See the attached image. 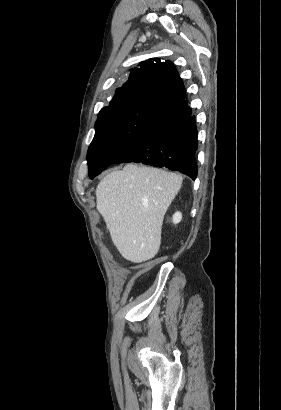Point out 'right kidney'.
Instances as JSON below:
<instances>
[{
	"mask_svg": "<svg viewBox=\"0 0 281 410\" xmlns=\"http://www.w3.org/2000/svg\"><path fill=\"white\" fill-rule=\"evenodd\" d=\"M181 219H182V214L180 212H176L172 217V222L174 224H177L181 221Z\"/></svg>",
	"mask_w": 281,
	"mask_h": 410,
	"instance_id": "right-kidney-1",
	"label": "right kidney"
}]
</instances>
